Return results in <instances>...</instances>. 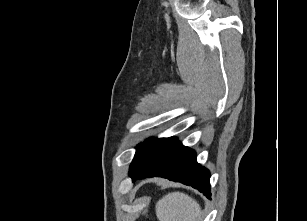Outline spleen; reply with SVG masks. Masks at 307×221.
Segmentation results:
<instances>
[{"label": "spleen", "mask_w": 307, "mask_h": 221, "mask_svg": "<svg viewBox=\"0 0 307 221\" xmlns=\"http://www.w3.org/2000/svg\"><path fill=\"white\" fill-rule=\"evenodd\" d=\"M155 212L159 221H199L201 207L187 194L172 192L156 203Z\"/></svg>", "instance_id": "3e777b00"}]
</instances>
